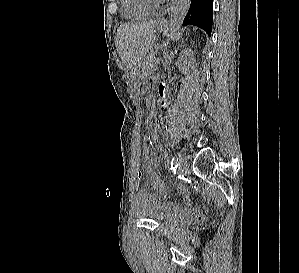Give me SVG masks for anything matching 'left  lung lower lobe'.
Masks as SVG:
<instances>
[{
  "label": "left lung lower lobe",
  "instance_id": "left-lung-lower-lobe-1",
  "mask_svg": "<svg viewBox=\"0 0 299 273\" xmlns=\"http://www.w3.org/2000/svg\"><path fill=\"white\" fill-rule=\"evenodd\" d=\"M213 22V0H192L183 25H195L211 36Z\"/></svg>",
  "mask_w": 299,
  "mask_h": 273
}]
</instances>
